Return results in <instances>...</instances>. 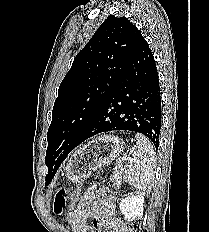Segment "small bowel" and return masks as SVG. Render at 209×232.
<instances>
[{"label":"small bowel","instance_id":"c3829d8e","mask_svg":"<svg viewBox=\"0 0 209 232\" xmlns=\"http://www.w3.org/2000/svg\"><path fill=\"white\" fill-rule=\"evenodd\" d=\"M116 200L105 187L93 184L81 197L78 205L69 212L67 219L73 232H101L100 227L110 232H129V227L113 216ZM95 220V226L88 221Z\"/></svg>","mask_w":209,"mask_h":232}]
</instances>
